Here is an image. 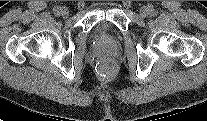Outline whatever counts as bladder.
Segmentation results:
<instances>
[{"instance_id": "1", "label": "bladder", "mask_w": 207, "mask_h": 121, "mask_svg": "<svg viewBox=\"0 0 207 121\" xmlns=\"http://www.w3.org/2000/svg\"><path fill=\"white\" fill-rule=\"evenodd\" d=\"M110 25L107 22H102L100 24L97 25L96 27V34L98 36H104L107 35V31L109 29Z\"/></svg>"}]
</instances>
